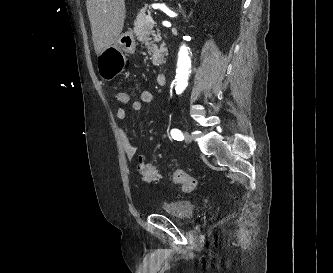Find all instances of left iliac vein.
I'll use <instances>...</instances> for the list:
<instances>
[{"mask_svg": "<svg viewBox=\"0 0 333 273\" xmlns=\"http://www.w3.org/2000/svg\"><path fill=\"white\" fill-rule=\"evenodd\" d=\"M184 138L187 143H190L192 141V136L188 131L184 132Z\"/></svg>", "mask_w": 333, "mask_h": 273, "instance_id": "1", "label": "left iliac vein"}]
</instances>
